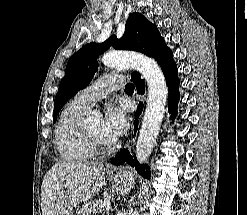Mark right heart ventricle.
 Returning <instances> with one entry per match:
<instances>
[{
  "mask_svg": "<svg viewBox=\"0 0 247 215\" xmlns=\"http://www.w3.org/2000/svg\"><path fill=\"white\" fill-rule=\"evenodd\" d=\"M87 110L73 99L61 113L55 130V143L61 158L66 162L82 163L94 156L86 142L81 124Z\"/></svg>",
  "mask_w": 247,
  "mask_h": 215,
  "instance_id": "e07e8e85",
  "label": "right heart ventricle"
}]
</instances>
